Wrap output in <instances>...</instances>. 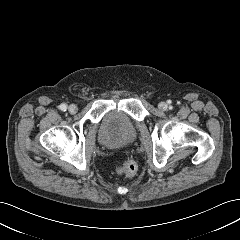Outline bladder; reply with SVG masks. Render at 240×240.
Returning <instances> with one entry per match:
<instances>
[{"label": "bladder", "mask_w": 240, "mask_h": 240, "mask_svg": "<svg viewBox=\"0 0 240 240\" xmlns=\"http://www.w3.org/2000/svg\"><path fill=\"white\" fill-rule=\"evenodd\" d=\"M101 144L109 149H119L131 144L136 138V125L132 118L121 111H111L99 124Z\"/></svg>", "instance_id": "1"}]
</instances>
